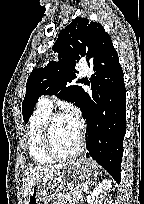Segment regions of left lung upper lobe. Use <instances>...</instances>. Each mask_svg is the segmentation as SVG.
Listing matches in <instances>:
<instances>
[{"label": "left lung upper lobe", "instance_id": "left-lung-upper-lobe-1", "mask_svg": "<svg viewBox=\"0 0 144 204\" xmlns=\"http://www.w3.org/2000/svg\"><path fill=\"white\" fill-rule=\"evenodd\" d=\"M53 51L58 52L59 62L51 61L44 68L33 70L26 84V94L22 103L24 121H28L41 95H56L75 103L82 110V87L70 85L77 78L76 60L84 57L88 65L98 66L107 71L114 67L118 55L110 36L100 23L87 18H75L63 29ZM79 79L76 83H82Z\"/></svg>", "mask_w": 144, "mask_h": 204}]
</instances>
